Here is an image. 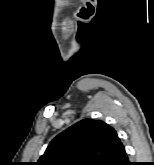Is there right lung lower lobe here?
<instances>
[{
	"mask_svg": "<svg viewBox=\"0 0 154 165\" xmlns=\"http://www.w3.org/2000/svg\"><path fill=\"white\" fill-rule=\"evenodd\" d=\"M117 148V153L113 156L108 165H131L121 142L118 144Z\"/></svg>",
	"mask_w": 154,
	"mask_h": 165,
	"instance_id": "98d812e1",
	"label": "right lung lower lobe"
}]
</instances>
